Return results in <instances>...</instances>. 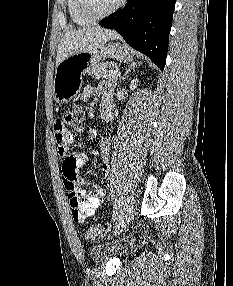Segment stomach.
<instances>
[{"instance_id":"stomach-1","label":"stomach","mask_w":233,"mask_h":286,"mask_svg":"<svg viewBox=\"0 0 233 286\" xmlns=\"http://www.w3.org/2000/svg\"><path fill=\"white\" fill-rule=\"evenodd\" d=\"M128 63L133 60L132 52L117 42H108L91 51L69 56L55 70L53 94L58 104L75 97L81 89L83 75L104 58Z\"/></svg>"}]
</instances>
